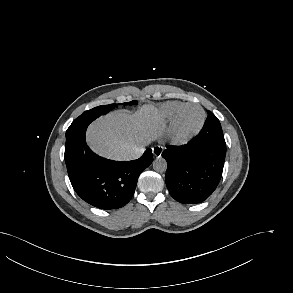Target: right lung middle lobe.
Instances as JSON below:
<instances>
[{
  "mask_svg": "<svg viewBox=\"0 0 293 293\" xmlns=\"http://www.w3.org/2000/svg\"><path fill=\"white\" fill-rule=\"evenodd\" d=\"M124 105H136L137 101H131L127 103H123ZM114 107H116V104H110V105H103L95 107L91 110L85 111L83 114H81L77 119H75L70 127H76L84 123H90L93 120H95L97 117L108 113L110 110H112Z\"/></svg>",
  "mask_w": 293,
  "mask_h": 293,
  "instance_id": "obj_1",
  "label": "right lung middle lobe"
}]
</instances>
